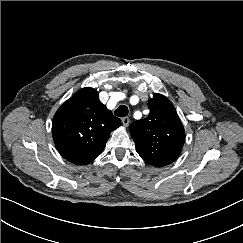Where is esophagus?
<instances>
[{"mask_svg":"<svg viewBox=\"0 0 243 243\" xmlns=\"http://www.w3.org/2000/svg\"><path fill=\"white\" fill-rule=\"evenodd\" d=\"M121 121H122V124H123L125 127H127V126L129 125V123H130V119H129L128 117H124V118H122Z\"/></svg>","mask_w":243,"mask_h":243,"instance_id":"obj_1","label":"esophagus"}]
</instances>
